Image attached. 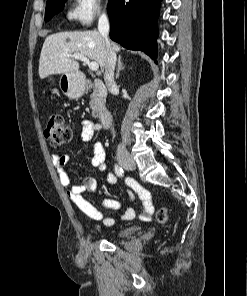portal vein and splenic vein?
<instances>
[{
    "instance_id": "1",
    "label": "portal vein and splenic vein",
    "mask_w": 247,
    "mask_h": 296,
    "mask_svg": "<svg viewBox=\"0 0 247 296\" xmlns=\"http://www.w3.org/2000/svg\"><path fill=\"white\" fill-rule=\"evenodd\" d=\"M67 56L83 61L84 63H86L88 65V67L91 71H98V69H99V65L97 62H95V61L90 62V60L86 56H84L80 53L68 54Z\"/></svg>"
}]
</instances>
